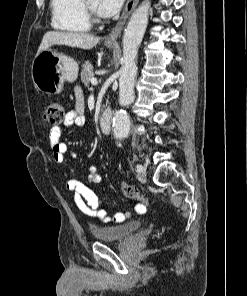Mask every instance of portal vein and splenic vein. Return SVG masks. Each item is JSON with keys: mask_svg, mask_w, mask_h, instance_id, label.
<instances>
[{"mask_svg": "<svg viewBox=\"0 0 247 296\" xmlns=\"http://www.w3.org/2000/svg\"><path fill=\"white\" fill-rule=\"evenodd\" d=\"M91 84L94 85V86L97 85V84H98L97 79L93 77V78L91 79Z\"/></svg>", "mask_w": 247, "mask_h": 296, "instance_id": "portal-vein-and-splenic-vein-1", "label": "portal vein and splenic vein"}]
</instances>
